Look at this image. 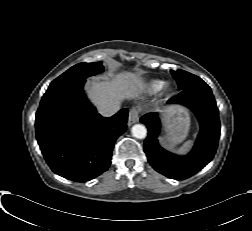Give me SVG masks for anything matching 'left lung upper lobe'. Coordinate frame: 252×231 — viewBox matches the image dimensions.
Returning <instances> with one entry per match:
<instances>
[{
  "label": "left lung upper lobe",
  "mask_w": 252,
  "mask_h": 231,
  "mask_svg": "<svg viewBox=\"0 0 252 231\" xmlns=\"http://www.w3.org/2000/svg\"><path fill=\"white\" fill-rule=\"evenodd\" d=\"M173 77L178 82V87L181 90H186L190 88L207 87L208 85L198 76L193 75L184 70H171Z\"/></svg>",
  "instance_id": "1"
}]
</instances>
